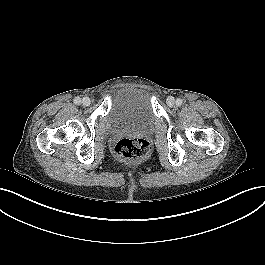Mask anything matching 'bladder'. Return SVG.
I'll use <instances>...</instances> for the list:
<instances>
[{
  "mask_svg": "<svg viewBox=\"0 0 265 265\" xmlns=\"http://www.w3.org/2000/svg\"><path fill=\"white\" fill-rule=\"evenodd\" d=\"M106 120L112 132L151 130L158 121L151 91L144 86L122 87L112 98Z\"/></svg>",
  "mask_w": 265,
  "mask_h": 265,
  "instance_id": "31cf9c89",
  "label": "bladder"
}]
</instances>
